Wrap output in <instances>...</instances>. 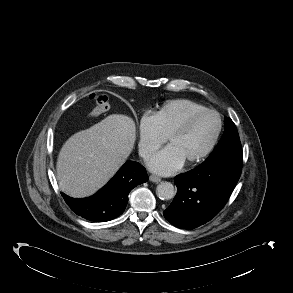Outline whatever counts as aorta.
<instances>
[{"label":"aorta","mask_w":293,"mask_h":293,"mask_svg":"<svg viewBox=\"0 0 293 293\" xmlns=\"http://www.w3.org/2000/svg\"><path fill=\"white\" fill-rule=\"evenodd\" d=\"M156 194L162 200H170L175 195V188L170 182H161L156 188Z\"/></svg>","instance_id":"obj_1"}]
</instances>
